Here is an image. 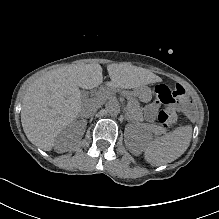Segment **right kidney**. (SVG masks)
Here are the masks:
<instances>
[{"label":"right kidney","instance_id":"ca27d5eb","mask_svg":"<svg viewBox=\"0 0 219 219\" xmlns=\"http://www.w3.org/2000/svg\"><path fill=\"white\" fill-rule=\"evenodd\" d=\"M83 132L84 129L80 131L76 125L68 126L65 130L58 132L56 135L55 142L53 144V150L56 153H63L68 151L69 145L66 143L67 138L69 137L71 140L75 138L78 140L83 135ZM77 133H79L78 136Z\"/></svg>","mask_w":219,"mask_h":219}]
</instances>
